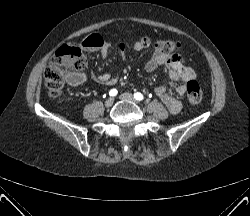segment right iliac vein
I'll use <instances>...</instances> for the list:
<instances>
[{
	"mask_svg": "<svg viewBox=\"0 0 250 216\" xmlns=\"http://www.w3.org/2000/svg\"><path fill=\"white\" fill-rule=\"evenodd\" d=\"M114 103V99L113 98H108L106 101H105V106L106 107H111Z\"/></svg>",
	"mask_w": 250,
	"mask_h": 216,
	"instance_id": "obj_1",
	"label": "right iliac vein"
}]
</instances>
